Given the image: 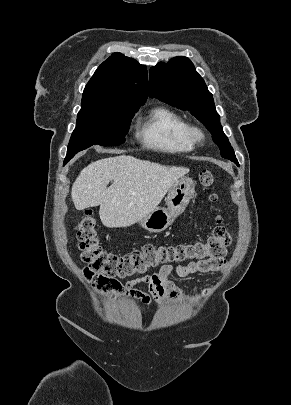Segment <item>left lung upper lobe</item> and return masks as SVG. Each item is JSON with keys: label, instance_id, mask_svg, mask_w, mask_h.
Returning a JSON list of instances; mask_svg holds the SVG:
<instances>
[{"label": "left lung upper lobe", "instance_id": "obj_1", "mask_svg": "<svg viewBox=\"0 0 291 405\" xmlns=\"http://www.w3.org/2000/svg\"><path fill=\"white\" fill-rule=\"evenodd\" d=\"M150 94L174 107L188 110L211 132L221 156L238 164L234 150L222 130L212 94L193 63L186 57L160 62L150 69Z\"/></svg>", "mask_w": 291, "mask_h": 405}]
</instances>
